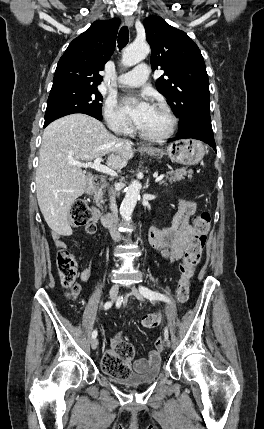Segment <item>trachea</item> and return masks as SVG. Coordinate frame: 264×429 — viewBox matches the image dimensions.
<instances>
[{
  "label": "trachea",
  "instance_id": "obj_1",
  "mask_svg": "<svg viewBox=\"0 0 264 429\" xmlns=\"http://www.w3.org/2000/svg\"><path fill=\"white\" fill-rule=\"evenodd\" d=\"M129 41V31L127 26H123L118 35V48L123 49Z\"/></svg>",
  "mask_w": 264,
  "mask_h": 429
}]
</instances>
